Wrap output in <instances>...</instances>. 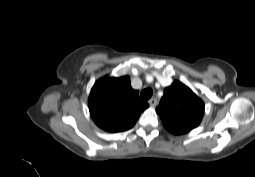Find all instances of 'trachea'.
<instances>
[{
	"instance_id": "trachea-1",
	"label": "trachea",
	"mask_w": 255,
	"mask_h": 177,
	"mask_svg": "<svg viewBox=\"0 0 255 177\" xmlns=\"http://www.w3.org/2000/svg\"><path fill=\"white\" fill-rule=\"evenodd\" d=\"M152 94H153L152 89L146 88V89H144V90L141 92L140 98H141L142 100L146 101V100H149V99L151 98Z\"/></svg>"
}]
</instances>
